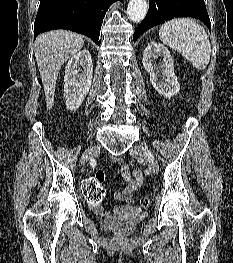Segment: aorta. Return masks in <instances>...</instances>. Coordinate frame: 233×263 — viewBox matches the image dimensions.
Masks as SVG:
<instances>
[{
	"instance_id": "obj_1",
	"label": "aorta",
	"mask_w": 233,
	"mask_h": 263,
	"mask_svg": "<svg viewBox=\"0 0 233 263\" xmlns=\"http://www.w3.org/2000/svg\"><path fill=\"white\" fill-rule=\"evenodd\" d=\"M148 11L146 0H130L127 7V14L130 21L138 23L142 21Z\"/></svg>"
}]
</instances>
